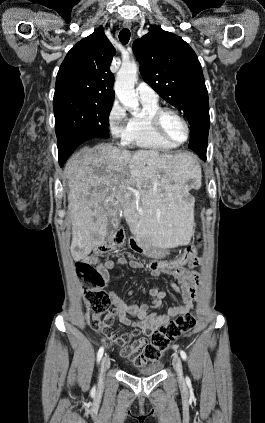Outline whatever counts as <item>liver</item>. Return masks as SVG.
I'll return each instance as SVG.
<instances>
[{
	"mask_svg": "<svg viewBox=\"0 0 265 423\" xmlns=\"http://www.w3.org/2000/svg\"><path fill=\"white\" fill-rule=\"evenodd\" d=\"M64 176L69 186L74 261L85 259L104 242L109 218L120 213L137 242L156 248L187 245L193 236V203L187 199L192 186L187 182L199 184L201 170L190 154L132 153L101 143L72 155Z\"/></svg>",
	"mask_w": 265,
	"mask_h": 423,
	"instance_id": "obj_1",
	"label": "liver"
}]
</instances>
